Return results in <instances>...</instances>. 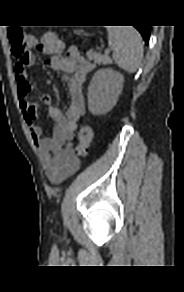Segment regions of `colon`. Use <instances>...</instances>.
<instances>
[{"mask_svg":"<svg viewBox=\"0 0 184 292\" xmlns=\"http://www.w3.org/2000/svg\"><path fill=\"white\" fill-rule=\"evenodd\" d=\"M8 37L12 44L13 56L22 62L28 59V47L30 37L21 28H10ZM39 51L44 55H55L62 50V43L53 32H45L41 37L38 45ZM78 145L75 149V154L78 156H85L93 140V129L90 125H84L80 128L78 133Z\"/></svg>","mask_w":184,"mask_h":292,"instance_id":"5ec220e1","label":"colon"}]
</instances>
